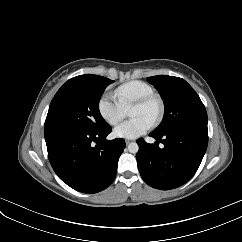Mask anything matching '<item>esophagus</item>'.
<instances>
[{
    "label": "esophagus",
    "instance_id": "obj_1",
    "mask_svg": "<svg viewBox=\"0 0 242 242\" xmlns=\"http://www.w3.org/2000/svg\"><path fill=\"white\" fill-rule=\"evenodd\" d=\"M131 141L130 140H126V144H129Z\"/></svg>",
    "mask_w": 242,
    "mask_h": 242
}]
</instances>
